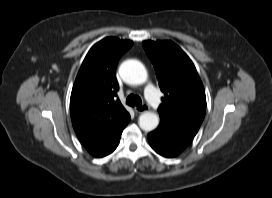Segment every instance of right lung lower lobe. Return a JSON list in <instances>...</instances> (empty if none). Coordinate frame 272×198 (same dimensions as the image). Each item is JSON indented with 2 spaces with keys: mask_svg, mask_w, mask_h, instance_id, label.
<instances>
[{
  "mask_svg": "<svg viewBox=\"0 0 272 198\" xmlns=\"http://www.w3.org/2000/svg\"><path fill=\"white\" fill-rule=\"evenodd\" d=\"M130 121L129 113L116 123L100 140L85 147L95 157H103L112 153L119 144L122 131Z\"/></svg>",
  "mask_w": 272,
  "mask_h": 198,
  "instance_id": "right-lung-lower-lobe-1",
  "label": "right lung lower lobe"
}]
</instances>
